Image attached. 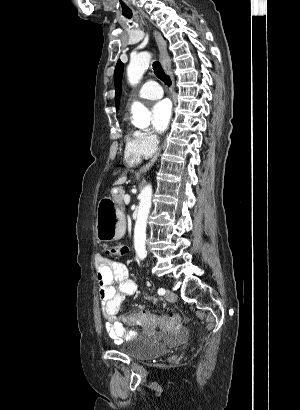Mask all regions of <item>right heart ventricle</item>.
I'll return each mask as SVG.
<instances>
[{"mask_svg": "<svg viewBox=\"0 0 300 410\" xmlns=\"http://www.w3.org/2000/svg\"><path fill=\"white\" fill-rule=\"evenodd\" d=\"M125 161L128 164H134L148 156L143 155L137 148L135 133L127 132L125 135Z\"/></svg>", "mask_w": 300, "mask_h": 410, "instance_id": "1", "label": "right heart ventricle"}]
</instances>
